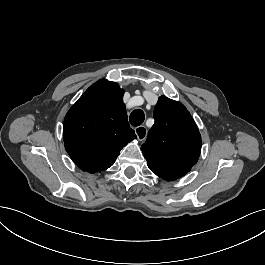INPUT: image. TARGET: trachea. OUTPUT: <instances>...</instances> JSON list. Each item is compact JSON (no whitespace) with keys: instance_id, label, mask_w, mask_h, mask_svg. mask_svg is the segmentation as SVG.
Instances as JSON below:
<instances>
[{"instance_id":"obj_1","label":"trachea","mask_w":265,"mask_h":265,"mask_svg":"<svg viewBox=\"0 0 265 265\" xmlns=\"http://www.w3.org/2000/svg\"><path fill=\"white\" fill-rule=\"evenodd\" d=\"M144 119H145V114L141 109H135L134 111H132L129 118L130 123L135 127L141 125Z\"/></svg>"}]
</instances>
